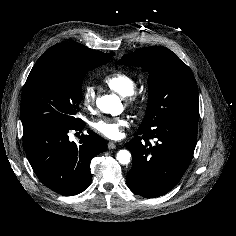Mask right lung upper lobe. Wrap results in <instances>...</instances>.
<instances>
[{
    "mask_svg": "<svg viewBox=\"0 0 236 236\" xmlns=\"http://www.w3.org/2000/svg\"><path fill=\"white\" fill-rule=\"evenodd\" d=\"M112 54L94 51L78 43L63 42L52 46L43 55H57L73 60H90L102 56H111Z\"/></svg>",
    "mask_w": 236,
    "mask_h": 236,
    "instance_id": "1",
    "label": "right lung upper lobe"
}]
</instances>
